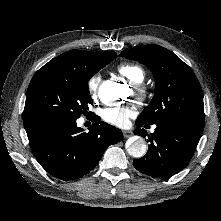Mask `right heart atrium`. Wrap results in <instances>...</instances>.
I'll list each match as a JSON object with an SVG mask.
<instances>
[{
  "label": "right heart atrium",
  "mask_w": 221,
  "mask_h": 221,
  "mask_svg": "<svg viewBox=\"0 0 221 221\" xmlns=\"http://www.w3.org/2000/svg\"><path fill=\"white\" fill-rule=\"evenodd\" d=\"M100 83L101 75L99 73L93 74L87 81V90L93 98L97 95Z\"/></svg>",
  "instance_id": "obj_1"
}]
</instances>
